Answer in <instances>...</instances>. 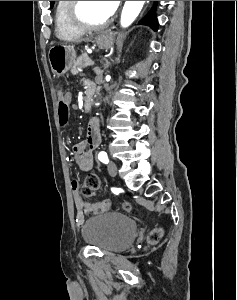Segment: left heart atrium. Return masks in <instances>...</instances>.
Here are the masks:
<instances>
[{
	"label": "left heart atrium",
	"mask_w": 237,
	"mask_h": 300,
	"mask_svg": "<svg viewBox=\"0 0 237 300\" xmlns=\"http://www.w3.org/2000/svg\"><path fill=\"white\" fill-rule=\"evenodd\" d=\"M120 1H107L108 6L110 7L111 11L114 13L117 9Z\"/></svg>",
	"instance_id": "1"
}]
</instances>
